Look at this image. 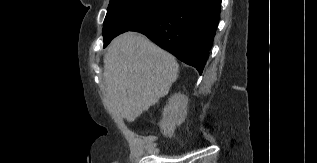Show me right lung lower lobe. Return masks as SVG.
<instances>
[{
    "instance_id": "right-lung-lower-lobe-1",
    "label": "right lung lower lobe",
    "mask_w": 317,
    "mask_h": 163,
    "mask_svg": "<svg viewBox=\"0 0 317 163\" xmlns=\"http://www.w3.org/2000/svg\"><path fill=\"white\" fill-rule=\"evenodd\" d=\"M220 7L221 0H171L161 12L130 31L146 35L202 74L219 22Z\"/></svg>"
}]
</instances>
